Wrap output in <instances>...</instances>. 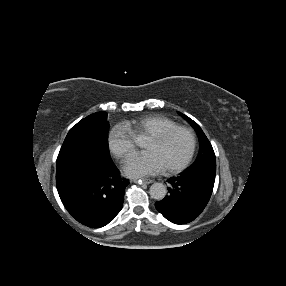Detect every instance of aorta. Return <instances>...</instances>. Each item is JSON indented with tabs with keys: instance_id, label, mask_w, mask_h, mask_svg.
<instances>
[{
	"instance_id": "1",
	"label": "aorta",
	"mask_w": 286,
	"mask_h": 286,
	"mask_svg": "<svg viewBox=\"0 0 286 286\" xmlns=\"http://www.w3.org/2000/svg\"><path fill=\"white\" fill-rule=\"evenodd\" d=\"M150 196L155 200H162L167 193V188L163 183L156 182L150 186Z\"/></svg>"
}]
</instances>
